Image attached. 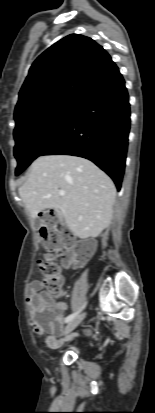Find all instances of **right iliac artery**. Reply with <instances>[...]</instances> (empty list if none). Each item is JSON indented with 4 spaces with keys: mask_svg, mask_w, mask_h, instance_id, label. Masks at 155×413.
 <instances>
[{
    "mask_svg": "<svg viewBox=\"0 0 155 413\" xmlns=\"http://www.w3.org/2000/svg\"><path fill=\"white\" fill-rule=\"evenodd\" d=\"M85 306H86V303L82 306V308H81L79 311H77V312H75V313L67 316L66 319H65V323H68V322H70L72 319H74V318L77 316V314H78Z\"/></svg>",
    "mask_w": 155,
    "mask_h": 413,
    "instance_id": "obj_1",
    "label": "right iliac artery"
}]
</instances>
